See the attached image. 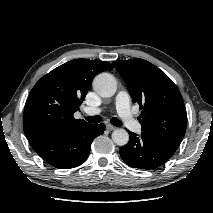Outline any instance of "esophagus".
<instances>
[{
    "label": "esophagus",
    "instance_id": "1",
    "mask_svg": "<svg viewBox=\"0 0 213 213\" xmlns=\"http://www.w3.org/2000/svg\"><path fill=\"white\" fill-rule=\"evenodd\" d=\"M106 129L109 130V131H113V130L116 129V127L111 125V124H106Z\"/></svg>",
    "mask_w": 213,
    "mask_h": 213
}]
</instances>
